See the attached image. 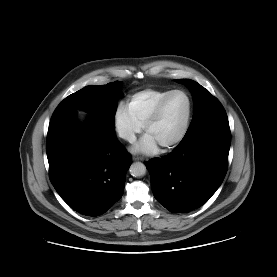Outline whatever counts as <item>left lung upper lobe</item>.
<instances>
[{
  "mask_svg": "<svg viewBox=\"0 0 277 277\" xmlns=\"http://www.w3.org/2000/svg\"><path fill=\"white\" fill-rule=\"evenodd\" d=\"M176 81L185 84L193 95L194 116L187 133L207 121L226 116V112L221 103L199 83L189 79H176Z\"/></svg>",
  "mask_w": 277,
  "mask_h": 277,
  "instance_id": "5c2ea615",
  "label": "left lung upper lobe"
}]
</instances>
